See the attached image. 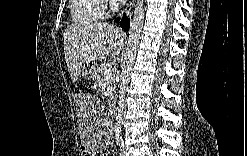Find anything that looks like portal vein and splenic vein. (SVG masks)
I'll return each mask as SVG.
<instances>
[{
	"label": "portal vein and splenic vein",
	"instance_id": "portal-vein-and-splenic-vein-1",
	"mask_svg": "<svg viewBox=\"0 0 247 156\" xmlns=\"http://www.w3.org/2000/svg\"><path fill=\"white\" fill-rule=\"evenodd\" d=\"M113 73H114V69L112 67H109V68H106L105 69V76H106V78L112 76Z\"/></svg>",
	"mask_w": 247,
	"mask_h": 156
}]
</instances>
